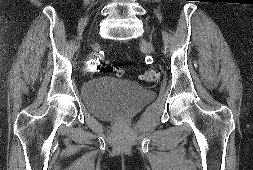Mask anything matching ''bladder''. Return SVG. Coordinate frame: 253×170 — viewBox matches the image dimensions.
Masks as SVG:
<instances>
[{
	"label": "bladder",
	"mask_w": 253,
	"mask_h": 170,
	"mask_svg": "<svg viewBox=\"0 0 253 170\" xmlns=\"http://www.w3.org/2000/svg\"><path fill=\"white\" fill-rule=\"evenodd\" d=\"M82 97L93 115L111 120L133 116L154 100V93L133 82L104 76L87 81Z\"/></svg>",
	"instance_id": "bladder-1"
}]
</instances>
